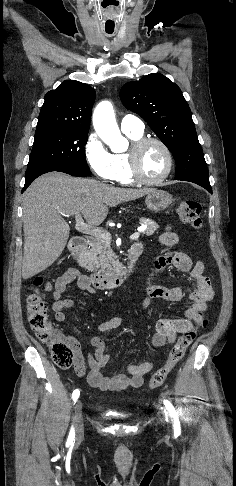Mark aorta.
I'll return each mask as SVG.
<instances>
[{
	"instance_id": "obj_1",
	"label": "aorta",
	"mask_w": 236,
	"mask_h": 486,
	"mask_svg": "<svg viewBox=\"0 0 236 486\" xmlns=\"http://www.w3.org/2000/svg\"><path fill=\"white\" fill-rule=\"evenodd\" d=\"M93 125L98 136L113 152H122L127 146V140L121 135L117 125L113 106L110 102H101L94 110Z\"/></svg>"
}]
</instances>
